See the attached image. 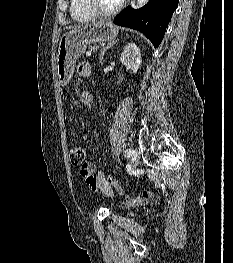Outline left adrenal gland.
I'll use <instances>...</instances> for the list:
<instances>
[{"instance_id": "a2214340", "label": "left adrenal gland", "mask_w": 233, "mask_h": 263, "mask_svg": "<svg viewBox=\"0 0 233 263\" xmlns=\"http://www.w3.org/2000/svg\"><path fill=\"white\" fill-rule=\"evenodd\" d=\"M117 41H118V40L109 42V43L107 44V46L103 49V51H102L101 54H100V63H102V61H103V57H104L105 52H106L108 49L112 48V47L116 44Z\"/></svg>"}]
</instances>
